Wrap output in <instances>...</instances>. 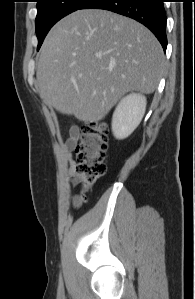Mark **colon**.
Returning a JSON list of instances; mask_svg holds the SVG:
<instances>
[{"label":"colon","instance_id":"1","mask_svg":"<svg viewBox=\"0 0 195 299\" xmlns=\"http://www.w3.org/2000/svg\"><path fill=\"white\" fill-rule=\"evenodd\" d=\"M108 151L106 126L100 122L86 123L75 145L76 165L74 182L80 186L75 204L86 201L87 193L106 172L105 159Z\"/></svg>","mask_w":195,"mask_h":299}]
</instances>
